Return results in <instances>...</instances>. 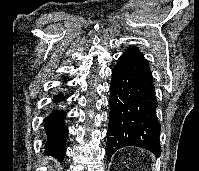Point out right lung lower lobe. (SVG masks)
<instances>
[{
    "mask_svg": "<svg viewBox=\"0 0 199 171\" xmlns=\"http://www.w3.org/2000/svg\"><path fill=\"white\" fill-rule=\"evenodd\" d=\"M65 100L63 94L54 96V102H61ZM65 113L61 110H54L48 117L44 119V126L47 134V143L45 153L53 155L62 161L65 156V143L68 136V129L63 123Z\"/></svg>",
    "mask_w": 199,
    "mask_h": 171,
    "instance_id": "98d812e1",
    "label": "right lung lower lobe"
}]
</instances>
